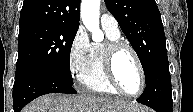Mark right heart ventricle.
Masks as SVG:
<instances>
[{
  "mask_svg": "<svg viewBox=\"0 0 193 112\" xmlns=\"http://www.w3.org/2000/svg\"><path fill=\"white\" fill-rule=\"evenodd\" d=\"M107 42L120 40V33H115L104 29ZM106 43H92L87 65L79 76V80L87 89L110 95H118L117 92L108 82L103 68V48Z\"/></svg>",
  "mask_w": 193,
  "mask_h": 112,
  "instance_id": "1",
  "label": "right heart ventricle"
}]
</instances>
